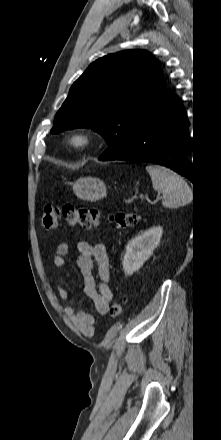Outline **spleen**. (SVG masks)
I'll use <instances>...</instances> for the list:
<instances>
[{
    "mask_svg": "<svg viewBox=\"0 0 221 440\" xmlns=\"http://www.w3.org/2000/svg\"><path fill=\"white\" fill-rule=\"evenodd\" d=\"M146 170L151 177L153 189L162 193L164 207L178 208L191 201V188L180 175L159 165H148Z\"/></svg>",
    "mask_w": 221,
    "mask_h": 440,
    "instance_id": "3e777b00",
    "label": "spleen"
}]
</instances>
